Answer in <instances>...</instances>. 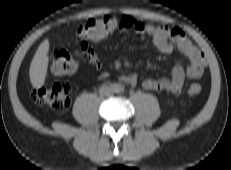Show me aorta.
I'll list each match as a JSON object with an SVG mask.
<instances>
[{"label":"aorta","mask_w":231,"mask_h":170,"mask_svg":"<svg viewBox=\"0 0 231 170\" xmlns=\"http://www.w3.org/2000/svg\"><path fill=\"white\" fill-rule=\"evenodd\" d=\"M121 90H122V87L121 86H117L116 91L120 92Z\"/></svg>","instance_id":"762f6f07"}]
</instances>
